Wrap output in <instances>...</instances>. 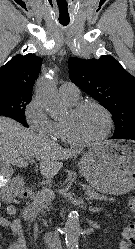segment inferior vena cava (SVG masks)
<instances>
[{"mask_svg": "<svg viewBox=\"0 0 135 249\" xmlns=\"http://www.w3.org/2000/svg\"><path fill=\"white\" fill-rule=\"evenodd\" d=\"M50 249H62L61 242L56 235H54L50 242Z\"/></svg>", "mask_w": 135, "mask_h": 249, "instance_id": "602c4592", "label": "inferior vena cava"}]
</instances>
